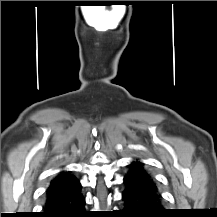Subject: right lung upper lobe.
Masks as SVG:
<instances>
[{"label": "right lung upper lobe", "mask_w": 217, "mask_h": 217, "mask_svg": "<svg viewBox=\"0 0 217 217\" xmlns=\"http://www.w3.org/2000/svg\"><path fill=\"white\" fill-rule=\"evenodd\" d=\"M80 186L79 181L74 176L67 172H61L51 182L47 190V198L69 193Z\"/></svg>", "instance_id": "right-lung-upper-lobe-1"}]
</instances>
